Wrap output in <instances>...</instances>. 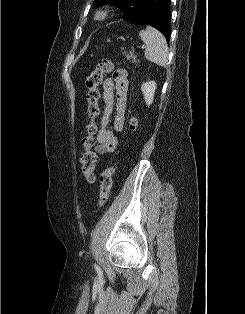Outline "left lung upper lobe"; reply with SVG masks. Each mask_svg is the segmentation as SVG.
I'll list each match as a JSON object with an SVG mask.
<instances>
[{
	"mask_svg": "<svg viewBox=\"0 0 245 314\" xmlns=\"http://www.w3.org/2000/svg\"><path fill=\"white\" fill-rule=\"evenodd\" d=\"M143 2L144 0H94L93 4L96 7L104 4L115 5L124 12L123 18L128 20L137 13Z\"/></svg>",
	"mask_w": 245,
	"mask_h": 314,
	"instance_id": "5c2ea615",
	"label": "left lung upper lobe"
}]
</instances>
